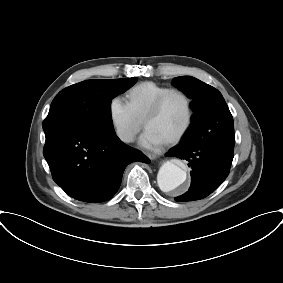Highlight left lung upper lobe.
Returning <instances> with one entry per match:
<instances>
[{
	"label": "left lung upper lobe",
	"mask_w": 283,
	"mask_h": 283,
	"mask_svg": "<svg viewBox=\"0 0 283 283\" xmlns=\"http://www.w3.org/2000/svg\"><path fill=\"white\" fill-rule=\"evenodd\" d=\"M173 85L192 99L194 114L191 125L202 119L205 123L203 136L206 143L234 149L233 117L221 93L191 76L176 77Z\"/></svg>",
	"instance_id": "1"
}]
</instances>
